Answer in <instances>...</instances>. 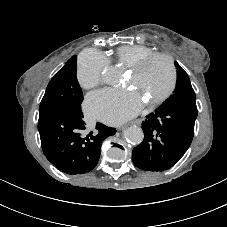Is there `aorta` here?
<instances>
[{
    "label": "aorta",
    "mask_w": 227,
    "mask_h": 227,
    "mask_svg": "<svg viewBox=\"0 0 227 227\" xmlns=\"http://www.w3.org/2000/svg\"><path fill=\"white\" fill-rule=\"evenodd\" d=\"M103 79L108 84H113L119 80V74L115 69H107L103 72ZM125 139L132 144H140L144 134L140 127L132 125L124 130Z\"/></svg>",
    "instance_id": "obj_1"
}]
</instances>
